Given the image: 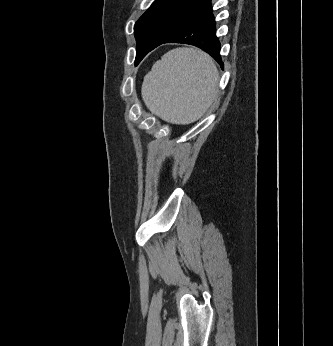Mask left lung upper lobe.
I'll list each match as a JSON object with an SVG mask.
<instances>
[{
    "mask_svg": "<svg viewBox=\"0 0 333 346\" xmlns=\"http://www.w3.org/2000/svg\"><path fill=\"white\" fill-rule=\"evenodd\" d=\"M211 0H155L134 26L136 65L149 48L167 38Z\"/></svg>",
    "mask_w": 333,
    "mask_h": 346,
    "instance_id": "left-lung-upper-lobe-1",
    "label": "left lung upper lobe"
}]
</instances>
